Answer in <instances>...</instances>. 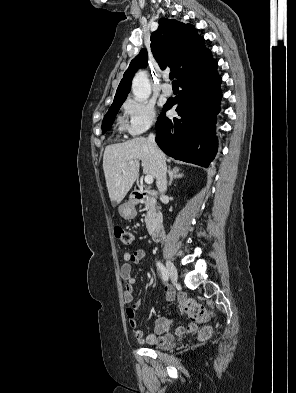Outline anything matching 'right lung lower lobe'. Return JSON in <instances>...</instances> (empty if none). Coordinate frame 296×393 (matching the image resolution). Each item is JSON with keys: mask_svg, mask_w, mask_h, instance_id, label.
Instances as JSON below:
<instances>
[{"mask_svg": "<svg viewBox=\"0 0 296 393\" xmlns=\"http://www.w3.org/2000/svg\"><path fill=\"white\" fill-rule=\"evenodd\" d=\"M217 62L206 51L177 78L182 91L168 99L156 123V142L169 156L208 167L217 152L216 115L222 93ZM177 105L178 116L165 117Z\"/></svg>", "mask_w": 296, "mask_h": 393, "instance_id": "98d812e1", "label": "right lung lower lobe"}]
</instances>
